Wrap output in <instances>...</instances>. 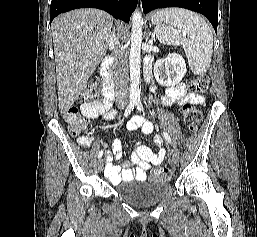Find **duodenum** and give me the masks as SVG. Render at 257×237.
Listing matches in <instances>:
<instances>
[{"mask_svg": "<svg viewBox=\"0 0 257 237\" xmlns=\"http://www.w3.org/2000/svg\"><path fill=\"white\" fill-rule=\"evenodd\" d=\"M113 57L111 55L104 58L100 66V75L102 78L103 94L105 98L111 100L114 98V80L111 72L113 64Z\"/></svg>", "mask_w": 257, "mask_h": 237, "instance_id": "duodenum-1", "label": "duodenum"}]
</instances>
